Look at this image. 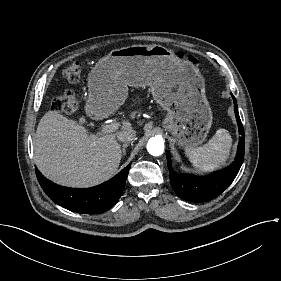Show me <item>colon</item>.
Returning a JSON list of instances; mask_svg holds the SVG:
<instances>
[{
	"label": "colon",
	"mask_w": 281,
	"mask_h": 281,
	"mask_svg": "<svg viewBox=\"0 0 281 281\" xmlns=\"http://www.w3.org/2000/svg\"><path fill=\"white\" fill-rule=\"evenodd\" d=\"M82 75V66L79 61H73L65 66L62 77L68 82H77ZM77 99L73 92L63 91L54 99L53 109L56 113L72 114L77 109Z\"/></svg>",
	"instance_id": "1"
}]
</instances>
